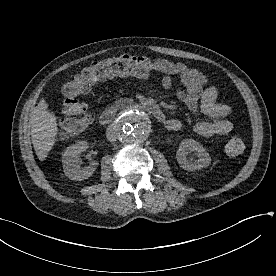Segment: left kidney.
Returning <instances> with one entry per match:
<instances>
[{
    "label": "left kidney",
    "instance_id": "left-kidney-1",
    "mask_svg": "<svg viewBox=\"0 0 276 276\" xmlns=\"http://www.w3.org/2000/svg\"><path fill=\"white\" fill-rule=\"evenodd\" d=\"M192 151L196 152L198 159L187 158V155ZM176 159L180 167L187 171L199 170L209 166L211 163L209 153L206 152L203 145L193 139H186L180 143Z\"/></svg>",
    "mask_w": 276,
    "mask_h": 276
}]
</instances>
